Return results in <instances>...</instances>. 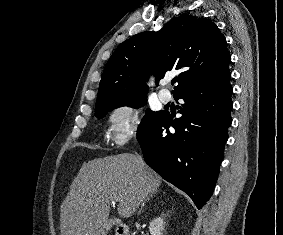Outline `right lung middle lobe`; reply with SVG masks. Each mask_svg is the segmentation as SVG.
Here are the masks:
<instances>
[{"instance_id": "1", "label": "right lung middle lobe", "mask_w": 283, "mask_h": 235, "mask_svg": "<svg viewBox=\"0 0 283 235\" xmlns=\"http://www.w3.org/2000/svg\"><path fill=\"white\" fill-rule=\"evenodd\" d=\"M146 97H139L128 100L103 102L96 104L95 116L102 118L108 111L121 106L140 107L145 105ZM162 112H153L149 109L146 110V115L143 117L137 131V135L148 129L160 117Z\"/></svg>"}]
</instances>
